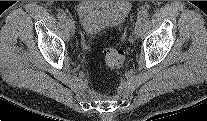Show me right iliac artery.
<instances>
[{
  "mask_svg": "<svg viewBox=\"0 0 207 121\" xmlns=\"http://www.w3.org/2000/svg\"><path fill=\"white\" fill-rule=\"evenodd\" d=\"M58 18L60 20H65L66 19V14L63 12V11H60L58 14H57Z\"/></svg>",
  "mask_w": 207,
  "mask_h": 121,
  "instance_id": "1",
  "label": "right iliac artery"
}]
</instances>
